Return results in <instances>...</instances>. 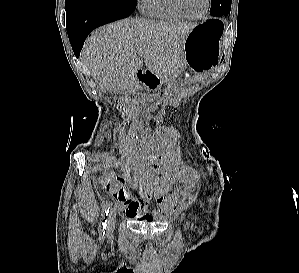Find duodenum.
<instances>
[{
    "label": "duodenum",
    "instance_id": "duodenum-1",
    "mask_svg": "<svg viewBox=\"0 0 299 273\" xmlns=\"http://www.w3.org/2000/svg\"><path fill=\"white\" fill-rule=\"evenodd\" d=\"M137 80L147 87L152 86V82L156 79L154 73L150 70H138Z\"/></svg>",
    "mask_w": 299,
    "mask_h": 273
}]
</instances>
